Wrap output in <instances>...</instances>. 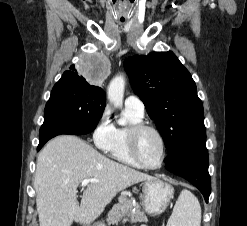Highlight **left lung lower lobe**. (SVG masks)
Returning a JSON list of instances; mask_svg holds the SVG:
<instances>
[{
  "instance_id": "0a47b994",
  "label": "left lung lower lobe",
  "mask_w": 247,
  "mask_h": 226,
  "mask_svg": "<svg viewBox=\"0 0 247 226\" xmlns=\"http://www.w3.org/2000/svg\"><path fill=\"white\" fill-rule=\"evenodd\" d=\"M165 168L191 182L208 202L211 179L208 173L206 138L191 142L170 153L166 158Z\"/></svg>"
}]
</instances>
